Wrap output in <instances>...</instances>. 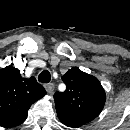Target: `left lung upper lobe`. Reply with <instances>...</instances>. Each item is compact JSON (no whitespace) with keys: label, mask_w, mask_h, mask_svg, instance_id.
<instances>
[{"label":"left lung upper lobe","mask_w":130,"mask_h":130,"mask_svg":"<svg viewBox=\"0 0 130 130\" xmlns=\"http://www.w3.org/2000/svg\"><path fill=\"white\" fill-rule=\"evenodd\" d=\"M62 80L66 84V90L54 94L57 115L85 123L96 118L106 100L99 80L76 67L68 70Z\"/></svg>","instance_id":"1"}]
</instances>
